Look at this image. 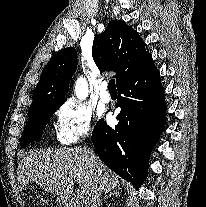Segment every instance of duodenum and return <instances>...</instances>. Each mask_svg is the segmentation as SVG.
I'll return each mask as SVG.
<instances>
[{"label": "duodenum", "mask_w": 206, "mask_h": 207, "mask_svg": "<svg viewBox=\"0 0 206 207\" xmlns=\"http://www.w3.org/2000/svg\"><path fill=\"white\" fill-rule=\"evenodd\" d=\"M67 205H68V207H72V201L71 200H68Z\"/></svg>", "instance_id": "obj_1"}]
</instances>
